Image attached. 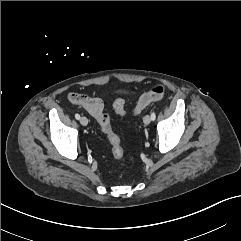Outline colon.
I'll use <instances>...</instances> for the list:
<instances>
[{
  "mask_svg": "<svg viewBox=\"0 0 241 241\" xmlns=\"http://www.w3.org/2000/svg\"><path fill=\"white\" fill-rule=\"evenodd\" d=\"M165 94V88L162 85H156L151 90L142 95L136 103L131 114H139L143 109L155 101H159ZM114 111L121 115H127L129 112L125 108V101L121 98L113 102ZM102 132L107 136L111 145L112 155L116 160H121L124 156V149L120 137L113 131L110 116L107 113H102L97 118Z\"/></svg>",
  "mask_w": 241,
  "mask_h": 241,
  "instance_id": "1",
  "label": "colon"
}]
</instances>
